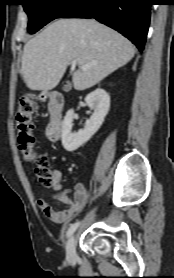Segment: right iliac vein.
<instances>
[{
  "label": "right iliac vein",
  "mask_w": 174,
  "mask_h": 278,
  "mask_svg": "<svg viewBox=\"0 0 174 278\" xmlns=\"http://www.w3.org/2000/svg\"><path fill=\"white\" fill-rule=\"evenodd\" d=\"M76 238L75 235H72L66 244V257L70 264L74 265L77 261L76 254Z\"/></svg>",
  "instance_id": "right-iliac-vein-1"
}]
</instances>
